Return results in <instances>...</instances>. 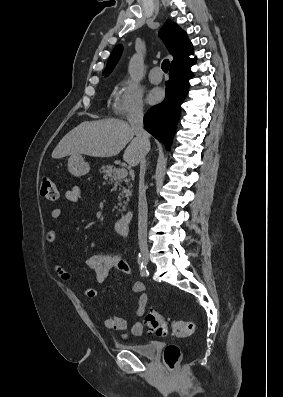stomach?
I'll return each instance as SVG.
<instances>
[{
  "label": "stomach",
  "mask_w": 283,
  "mask_h": 397,
  "mask_svg": "<svg viewBox=\"0 0 283 397\" xmlns=\"http://www.w3.org/2000/svg\"><path fill=\"white\" fill-rule=\"evenodd\" d=\"M90 170V166L84 161L82 156L73 155L68 159V171L70 174L76 177L87 174Z\"/></svg>",
  "instance_id": "0dacf381"
}]
</instances>
